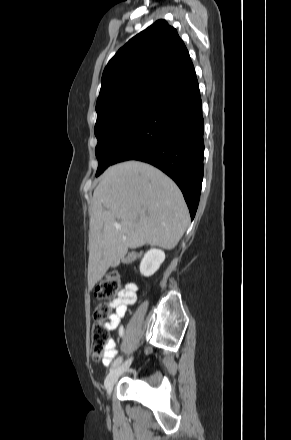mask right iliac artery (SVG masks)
<instances>
[{"mask_svg":"<svg viewBox=\"0 0 291 440\" xmlns=\"http://www.w3.org/2000/svg\"><path fill=\"white\" fill-rule=\"evenodd\" d=\"M122 362V357L120 356V357H118V358H116L115 360H114V362L112 363V367H111V369H114V368H116L117 366H119V364Z\"/></svg>","mask_w":291,"mask_h":440,"instance_id":"right-iliac-artery-1","label":"right iliac artery"}]
</instances>
